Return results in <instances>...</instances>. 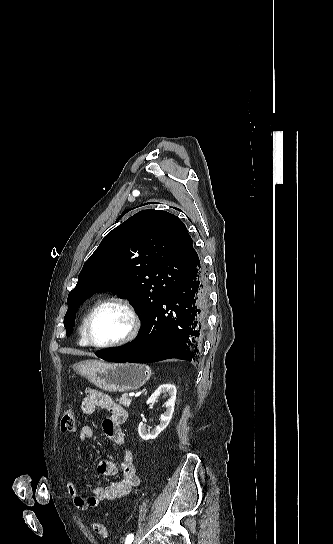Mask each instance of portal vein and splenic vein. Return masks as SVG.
Returning a JSON list of instances; mask_svg holds the SVG:
<instances>
[{
	"label": "portal vein and splenic vein",
	"mask_w": 333,
	"mask_h": 544,
	"mask_svg": "<svg viewBox=\"0 0 333 544\" xmlns=\"http://www.w3.org/2000/svg\"><path fill=\"white\" fill-rule=\"evenodd\" d=\"M135 393H129V397H133Z\"/></svg>",
	"instance_id": "1"
}]
</instances>
